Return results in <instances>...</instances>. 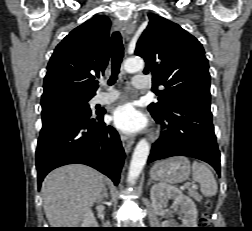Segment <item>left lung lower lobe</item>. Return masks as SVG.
<instances>
[{"mask_svg":"<svg viewBox=\"0 0 252 231\" xmlns=\"http://www.w3.org/2000/svg\"><path fill=\"white\" fill-rule=\"evenodd\" d=\"M210 104V99L189 94L173 98L160 114L151 112L162 134L152 145L148 163L171 156H190L209 163L220 176V152Z\"/></svg>","mask_w":252,"mask_h":231,"instance_id":"1","label":"left lung lower lobe"}]
</instances>
